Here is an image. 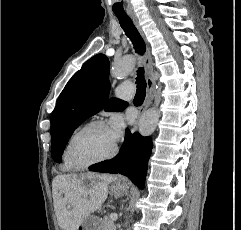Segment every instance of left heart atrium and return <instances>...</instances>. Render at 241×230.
I'll return each instance as SVG.
<instances>
[{
	"label": "left heart atrium",
	"instance_id": "1",
	"mask_svg": "<svg viewBox=\"0 0 241 230\" xmlns=\"http://www.w3.org/2000/svg\"><path fill=\"white\" fill-rule=\"evenodd\" d=\"M124 120L121 115L115 114L110 119L107 129L115 143H117L123 136L124 132Z\"/></svg>",
	"mask_w": 241,
	"mask_h": 230
}]
</instances>
